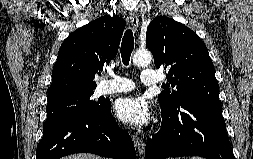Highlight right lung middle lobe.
<instances>
[{"label":"right lung middle lobe","mask_w":253,"mask_h":159,"mask_svg":"<svg viewBox=\"0 0 253 159\" xmlns=\"http://www.w3.org/2000/svg\"><path fill=\"white\" fill-rule=\"evenodd\" d=\"M93 91L65 95L49 99L46 112L47 119L43 131H47L66 119L80 113L99 112L107 102H95L91 99Z\"/></svg>","instance_id":"obj_1"}]
</instances>
